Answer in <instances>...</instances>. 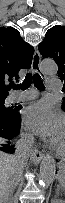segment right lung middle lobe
<instances>
[{
  "mask_svg": "<svg viewBox=\"0 0 65 203\" xmlns=\"http://www.w3.org/2000/svg\"><path fill=\"white\" fill-rule=\"evenodd\" d=\"M7 96H1L0 97V114H4V115H9V114H13L15 111V107H5L4 106V100Z\"/></svg>",
  "mask_w": 65,
  "mask_h": 203,
  "instance_id": "1",
  "label": "right lung middle lobe"
}]
</instances>
